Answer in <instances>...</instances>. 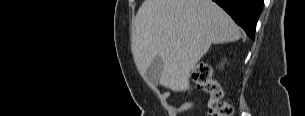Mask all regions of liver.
Wrapping results in <instances>:
<instances>
[{
  "label": "liver",
  "instance_id": "1",
  "mask_svg": "<svg viewBox=\"0 0 305 116\" xmlns=\"http://www.w3.org/2000/svg\"><path fill=\"white\" fill-rule=\"evenodd\" d=\"M240 38L239 27L212 0H145L135 18L131 50L143 74L160 57V85L178 92L190 88V72L212 43Z\"/></svg>",
  "mask_w": 305,
  "mask_h": 116
}]
</instances>
